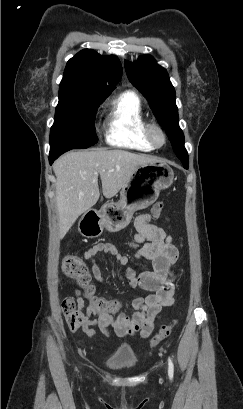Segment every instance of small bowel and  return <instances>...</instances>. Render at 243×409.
<instances>
[{"label":"small bowel","instance_id":"obj_1","mask_svg":"<svg viewBox=\"0 0 243 409\" xmlns=\"http://www.w3.org/2000/svg\"><path fill=\"white\" fill-rule=\"evenodd\" d=\"M148 214L139 215L135 220L136 233L134 240L141 245L135 251V258H144L152 263V269L138 271L133 267L126 269V277L131 287H139L148 294L137 297L132 301L134 312L126 314L114 311H105L88 306L82 313V329L88 337H94L92 327L100 328L106 338L112 335L124 337L137 335L140 338L149 337L154 329L155 320L159 317L163 307L174 304L175 274L171 267L178 258V249L172 243V237L163 227L150 222ZM168 219L165 218V223ZM108 254L115 258L121 265H126L128 258L121 253L116 245L111 243H100L91 247L84 253V258L92 264V273L98 282H105L98 265V257ZM75 298L80 310L85 308V300L80 290L75 291ZM103 298V297H102Z\"/></svg>","mask_w":243,"mask_h":409}]
</instances>
